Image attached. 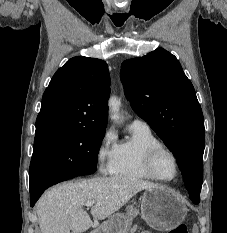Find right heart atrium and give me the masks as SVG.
<instances>
[{
	"label": "right heart atrium",
	"instance_id": "obj_1",
	"mask_svg": "<svg viewBox=\"0 0 227 233\" xmlns=\"http://www.w3.org/2000/svg\"><path fill=\"white\" fill-rule=\"evenodd\" d=\"M95 158L98 170L102 174L114 172L117 159V142L115 132L111 128L106 129L100 137Z\"/></svg>",
	"mask_w": 227,
	"mask_h": 233
}]
</instances>
